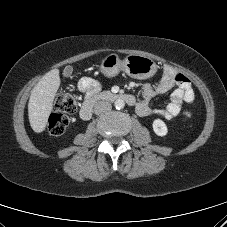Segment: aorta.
<instances>
[{
  "label": "aorta",
  "mask_w": 227,
  "mask_h": 227,
  "mask_svg": "<svg viewBox=\"0 0 227 227\" xmlns=\"http://www.w3.org/2000/svg\"><path fill=\"white\" fill-rule=\"evenodd\" d=\"M114 106L116 109H122L124 108L125 106V102L123 99H117L115 102H114Z\"/></svg>",
  "instance_id": "1"
}]
</instances>
